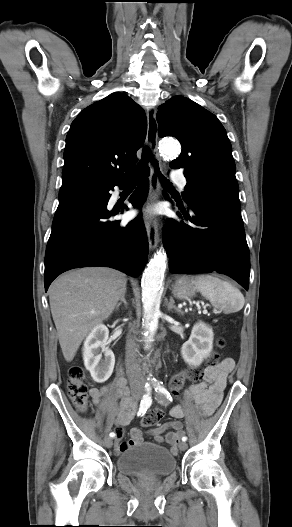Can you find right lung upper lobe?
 I'll return each mask as SVG.
<instances>
[{"label": "right lung upper lobe", "instance_id": "cb5924a9", "mask_svg": "<svg viewBox=\"0 0 292 527\" xmlns=\"http://www.w3.org/2000/svg\"><path fill=\"white\" fill-rule=\"evenodd\" d=\"M146 130L144 110L124 93L88 106L66 137L63 182L85 179L110 185L125 179L138 166L136 152Z\"/></svg>", "mask_w": 292, "mask_h": 527}]
</instances>
